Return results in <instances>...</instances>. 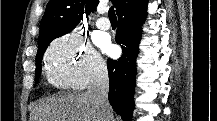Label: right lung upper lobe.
<instances>
[{"instance_id": "right-lung-upper-lobe-1", "label": "right lung upper lobe", "mask_w": 217, "mask_h": 121, "mask_svg": "<svg viewBox=\"0 0 217 121\" xmlns=\"http://www.w3.org/2000/svg\"><path fill=\"white\" fill-rule=\"evenodd\" d=\"M118 13L125 0H111ZM99 0H50L40 23L39 47L71 32L89 10L93 11Z\"/></svg>"}]
</instances>
